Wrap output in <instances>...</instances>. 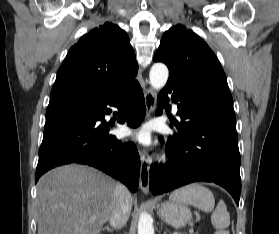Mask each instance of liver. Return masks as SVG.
I'll return each instance as SVG.
<instances>
[{
  "label": "liver",
  "instance_id": "6515ba94",
  "mask_svg": "<svg viewBox=\"0 0 279 234\" xmlns=\"http://www.w3.org/2000/svg\"><path fill=\"white\" fill-rule=\"evenodd\" d=\"M116 185L83 165L47 172L37 185V234H99L110 217Z\"/></svg>",
  "mask_w": 279,
  "mask_h": 234
}]
</instances>
